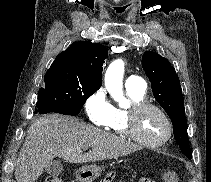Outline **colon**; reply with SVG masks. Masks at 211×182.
Returning <instances> with one entry per match:
<instances>
[{"instance_id":"colon-1","label":"colon","mask_w":211,"mask_h":182,"mask_svg":"<svg viewBox=\"0 0 211 182\" xmlns=\"http://www.w3.org/2000/svg\"><path fill=\"white\" fill-rule=\"evenodd\" d=\"M116 177L115 172H109L105 177L101 179L100 182H112ZM162 177L165 182H176L177 175L174 172L171 171H164L162 173ZM45 182H62L61 178L58 176H48L45 180Z\"/></svg>"}]
</instances>
